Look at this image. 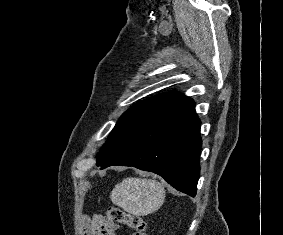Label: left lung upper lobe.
I'll return each instance as SVG.
<instances>
[{
	"label": "left lung upper lobe",
	"mask_w": 283,
	"mask_h": 235,
	"mask_svg": "<svg viewBox=\"0 0 283 235\" xmlns=\"http://www.w3.org/2000/svg\"><path fill=\"white\" fill-rule=\"evenodd\" d=\"M184 98L176 92L164 93L142 101L126 111L97 155V165L104 163L115 149L153 117Z\"/></svg>",
	"instance_id": "left-lung-upper-lobe-1"
}]
</instances>
